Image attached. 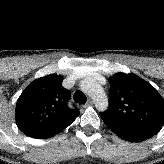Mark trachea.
<instances>
[{"label": "trachea", "instance_id": "obj_1", "mask_svg": "<svg viewBox=\"0 0 164 164\" xmlns=\"http://www.w3.org/2000/svg\"><path fill=\"white\" fill-rule=\"evenodd\" d=\"M73 98L77 103L81 104H85L87 101V97L85 96V94L79 90L74 93Z\"/></svg>", "mask_w": 164, "mask_h": 164}]
</instances>
